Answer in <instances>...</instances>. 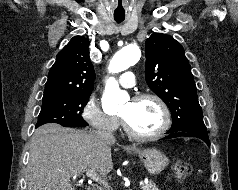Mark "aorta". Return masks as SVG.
<instances>
[{
  "mask_svg": "<svg viewBox=\"0 0 238 190\" xmlns=\"http://www.w3.org/2000/svg\"><path fill=\"white\" fill-rule=\"evenodd\" d=\"M140 56L141 51L139 47L134 43L128 44L112 57L109 64V71L112 73L124 71L137 63ZM128 99V94L119 88L118 82L112 77L109 78L102 97L103 111L107 114L114 113Z\"/></svg>",
  "mask_w": 238,
  "mask_h": 190,
  "instance_id": "aorta-1",
  "label": "aorta"
}]
</instances>
